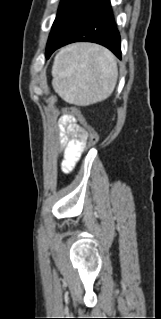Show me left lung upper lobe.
<instances>
[{
    "label": "left lung upper lobe",
    "instance_id": "left-lung-upper-lobe-1",
    "mask_svg": "<svg viewBox=\"0 0 161 319\" xmlns=\"http://www.w3.org/2000/svg\"><path fill=\"white\" fill-rule=\"evenodd\" d=\"M102 0H61L53 23L47 48L64 37L83 17Z\"/></svg>",
    "mask_w": 161,
    "mask_h": 319
}]
</instances>
